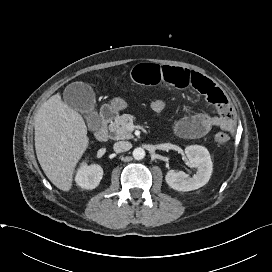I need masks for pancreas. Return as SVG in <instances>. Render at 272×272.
<instances>
[{"mask_svg": "<svg viewBox=\"0 0 272 272\" xmlns=\"http://www.w3.org/2000/svg\"><path fill=\"white\" fill-rule=\"evenodd\" d=\"M135 117L130 114L117 116L115 121L109 125V130L113 139L123 140L133 138L132 133L127 129V125L133 123Z\"/></svg>", "mask_w": 272, "mask_h": 272, "instance_id": "1", "label": "pancreas"}]
</instances>
